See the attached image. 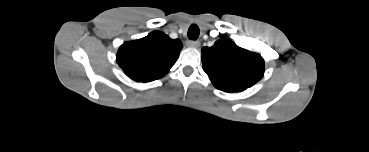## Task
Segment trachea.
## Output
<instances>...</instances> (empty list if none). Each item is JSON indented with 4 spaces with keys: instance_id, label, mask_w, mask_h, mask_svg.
<instances>
[{
    "instance_id": "obj_1",
    "label": "trachea",
    "mask_w": 369,
    "mask_h": 152,
    "mask_svg": "<svg viewBox=\"0 0 369 152\" xmlns=\"http://www.w3.org/2000/svg\"><path fill=\"white\" fill-rule=\"evenodd\" d=\"M199 28L197 25L193 24L189 27L188 38L191 40H196L199 37Z\"/></svg>"
}]
</instances>
